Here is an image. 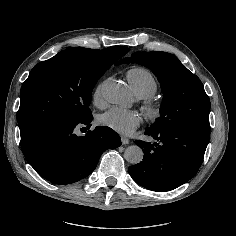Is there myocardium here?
Wrapping results in <instances>:
<instances>
[{
    "label": "myocardium",
    "mask_w": 236,
    "mask_h": 236,
    "mask_svg": "<svg viewBox=\"0 0 236 236\" xmlns=\"http://www.w3.org/2000/svg\"><path fill=\"white\" fill-rule=\"evenodd\" d=\"M144 111L150 120H155L161 115V106L158 102L149 99L145 103Z\"/></svg>",
    "instance_id": "1"
}]
</instances>
